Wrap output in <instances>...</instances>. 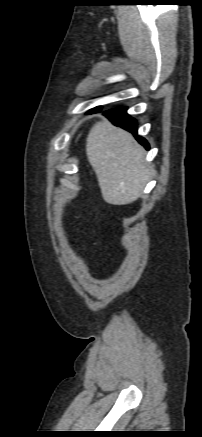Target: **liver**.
Listing matches in <instances>:
<instances>
[{
  "label": "liver",
  "instance_id": "liver-1",
  "mask_svg": "<svg viewBox=\"0 0 202 437\" xmlns=\"http://www.w3.org/2000/svg\"><path fill=\"white\" fill-rule=\"evenodd\" d=\"M86 154L105 202L126 205L137 200L151 169L144 161L145 150L129 132L104 118L91 128Z\"/></svg>",
  "mask_w": 202,
  "mask_h": 437
}]
</instances>
